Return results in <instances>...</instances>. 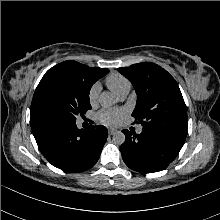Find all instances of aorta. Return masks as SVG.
Here are the masks:
<instances>
[{
    "mask_svg": "<svg viewBox=\"0 0 220 220\" xmlns=\"http://www.w3.org/2000/svg\"><path fill=\"white\" fill-rule=\"evenodd\" d=\"M101 106L108 108L115 104L116 100L113 95L109 93H102L99 97ZM125 134L121 131H117L113 135V141L115 144L121 145L125 142Z\"/></svg>",
    "mask_w": 220,
    "mask_h": 220,
    "instance_id": "1",
    "label": "aorta"
}]
</instances>
